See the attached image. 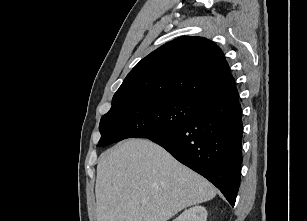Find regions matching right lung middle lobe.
<instances>
[{"label":"right lung middle lobe","mask_w":307,"mask_h":221,"mask_svg":"<svg viewBox=\"0 0 307 221\" xmlns=\"http://www.w3.org/2000/svg\"><path fill=\"white\" fill-rule=\"evenodd\" d=\"M202 109L194 102L167 97H135L114 102L101 118L97 146L168 133L188 123Z\"/></svg>","instance_id":"dd1d6c3e"}]
</instances>
